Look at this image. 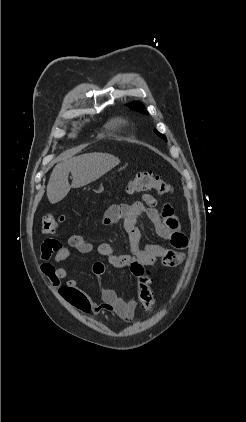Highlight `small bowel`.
Returning <instances> with one entry per match:
<instances>
[{
  "label": "small bowel",
  "mask_w": 246,
  "mask_h": 422,
  "mask_svg": "<svg viewBox=\"0 0 246 422\" xmlns=\"http://www.w3.org/2000/svg\"><path fill=\"white\" fill-rule=\"evenodd\" d=\"M144 202L112 205L102 219V224L105 226L123 222L124 231L130 242V253L117 254L113 246L107 242L101 243L96 249L97 253L110 265L115 268H129L135 276H138L141 267L159 262L169 250H184L188 243L170 205H164L158 210L156 200L151 195L144 196ZM141 217H146L151 221L157 236L170 242L172 249L159 244L141 242L138 228V220ZM68 244L69 246H63L57 239H46L41 245L40 269L51 284L58 289L59 295L84 313L95 315L110 313L125 321L130 320L137 304L132 299L121 297L115 290L99 286L97 290L99 301H96L80 289L74 279H69L61 285V281L69 276L70 271L66 267H58L57 264L70 257L71 248L80 254L90 253L93 250V245L79 234L72 235ZM93 272L100 277L104 272V264L94 263Z\"/></svg>",
  "instance_id": "small-bowel-1"
}]
</instances>
